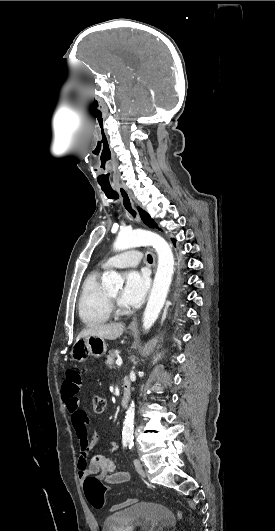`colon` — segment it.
I'll use <instances>...</instances> for the list:
<instances>
[{
  "mask_svg": "<svg viewBox=\"0 0 275 531\" xmlns=\"http://www.w3.org/2000/svg\"><path fill=\"white\" fill-rule=\"evenodd\" d=\"M68 372V370L66 371ZM83 399L86 402H90L92 410L96 414H101L105 411V400L102 397L94 395L91 391H86L83 394ZM84 495L88 502L91 503L93 509L102 511L104 506L102 505L103 492L108 491L109 486L106 483H96L97 478L93 474H88L84 478ZM177 514L180 515V512L177 511Z\"/></svg>",
  "mask_w": 275,
  "mask_h": 531,
  "instance_id": "5ec220e1",
  "label": "colon"
}]
</instances>
